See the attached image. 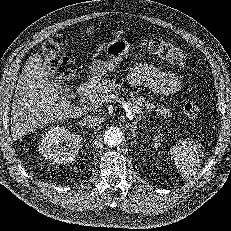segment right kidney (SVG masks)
<instances>
[{
    "instance_id": "1",
    "label": "right kidney",
    "mask_w": 231,
    "mask_h": 231,
    "mask_svg": "<svg viewBox=\"0 0 231 231\" xmlns=\"http://www.w3.org/2000/svg\"><path fill=\"white\" fill-rule=\"evenodd\" d=\"M82 147V138L63 126L51 127L41 138L40 154L56 164L70 163Z\"/></svg>"
}]
</instances>
